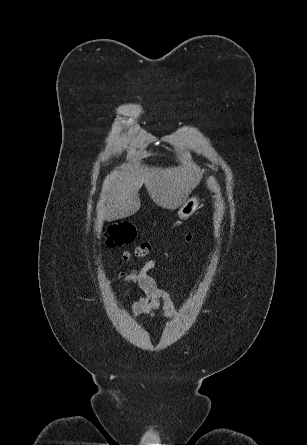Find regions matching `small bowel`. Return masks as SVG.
<instances>
[{
  "label": "small bowel",
  "mask_w": 307,
  "mask_h": 445,
  "mask_svg": "<svg viewBox=\"0 0 307 445\" xmlns=\"http://www.w3.org/2000/svg\"><path fill=\"white\" fill-rule=\"evenodd\" d=\"M155 265V261L150 260L142 268L130 272H122L118 277L123 279L126 288H129L132 284H137L144 293L143 297L130 305V311L134 315H148L161 305L165 315L173 317L176 310L171 294L158 287L149 274Z\"/></svg>",
  "instance_id": "small-bowel-1"
}]
</instances>
